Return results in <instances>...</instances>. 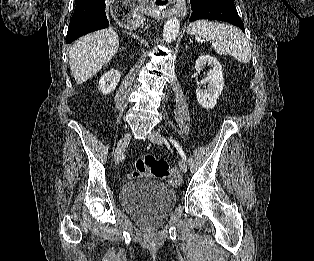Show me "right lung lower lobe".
<instances>
[{
  "instance_id": "98d812e1",
  "label": "right lung lower lobe",
  "mask_w": 314,
  "mask_h": 261,
  "mask_svg": "<svg viewBox=\"0 0 314 261\" xmlns=\"http://www.w3.org/2000/svg\"><path fill=\"white\" fill-rule=\"evenodd\" d=\"M105 0H76V8L72 15L66 43H71L87 33L109 26L105 13Z\"/></svg>"
}]
</instances>
